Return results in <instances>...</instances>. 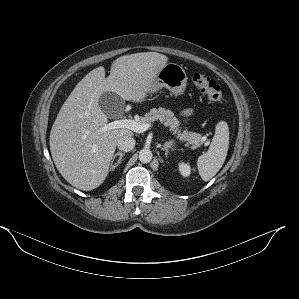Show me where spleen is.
<instances>
[{
	"label": "spleen",
	"instance_id": "1",
	"mask_svg": "<svg viewBox=\"0 0 299 299\" xmlns=\"http://www.w3.org/2000/svg\"><path fill=\"white\" fill-rule=\"evenodd\" d=\"M229 148V128L225 121H220L215 128V135L208 151L197 161L199 174L203 181H209L221 169Z\"/></svg>",
	"mask_w": 299,
	"mask_h": 299
}]
</instances>
